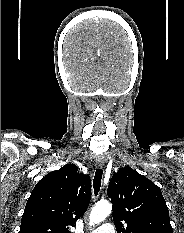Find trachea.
<instances>
[{
	"instance_id": "obj_1",
	"label": "trachea",
	"mask_w": 184,
	"mask_h": 233,
	"mask_svg": "<svg viewBox=\"0 0 184 233\" xmlns=\"http://www.w3.org/2000/svg\"><path fill=\"white\" fill-rule=\"evenodd\" d=\"M102 174L103 170L101 168L96 169L95 176L93 179V188L95 196L98 194L101 187Z\"/></svg>"
}]
</instances>
